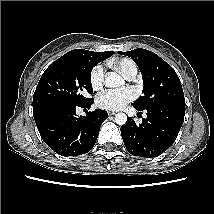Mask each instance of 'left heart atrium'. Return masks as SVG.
Returning <instances> with one entry per match:
<instances>
[{
  "instance_id": "left-heart-atrium-1",
  "label": "left heart atrium",
  "mask_w": 214,
  "mask_h": 214,
  "mask_svg": "<svg viewBox=\"0 0 214 214\" xmlns=\"http://www.w3.org/2000/svg\"><path fill=\"white\" fill-rule=\"evenodd\" d=\"M134 98L135 92L131 88L123 90H105L97 96L96 103L103 109L119 110Z\"/></svg>"
}]
</instances>
